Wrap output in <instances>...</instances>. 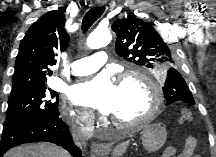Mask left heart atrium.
<instances>
[{
    "instance_id": "obj_1",
    "label": "left heart atrium",
    "mask_w": 216,
    "mask_h": 157,
    "mask_svg": "<svg viewBox=\"0 0 216 157\" xmlns=\"http://www.w3.org/2000/svg\"><path fill=\"white\" fill-rule=\"evenodd\" d=\"M70 98L76 105L95 108L103 114L114 111L117 103V87L108 73H103L92 80L75 85Z\"/></svg>"
}]
</instances>
